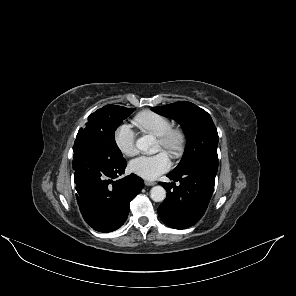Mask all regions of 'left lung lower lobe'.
Here are the masks:
<instances>
[{"label":"left lung lower lobe","mask_w":296,"mask_h":296,"mask_svg":"<svg viewBox=\"0 0 296 296\" xmlns=\"http://www.w3.org/2000/svg\"><path fill=\"white\" fill-rule=\"evenodd\" d=\"M217 169L218 162H203L167 175L179 181V186L174 182H160L167 190V197L159 206L158 214L167 226L185 229L203 216L214 190Z\"/></svg>","instance_id":"left-lung-lower-lobe-1"}]
</instances>
